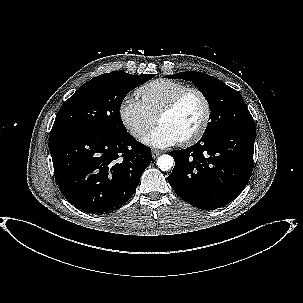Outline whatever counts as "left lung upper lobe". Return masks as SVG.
I'll list each match as a JSON object with an SVG mask.
<instances>
[{
  "label": "left lung upper lobe",
  "instance_id": "obj_1",
  "mask_svg": "<svg viewBox=\"0 0 303 303\" xmlns=\"http://www.w3.org/2000/svg\"><path fill=\"white\" fill-rule=\"evenodd\" d=\"M165 77L192 81L205 96L211 113L210 122L202 137L231 128L255 126L241 94L217 78L194 71L180 72Z\"/></svg>",
  "mask_w": 303,
  "mask_h": 303
}]
</instances>
